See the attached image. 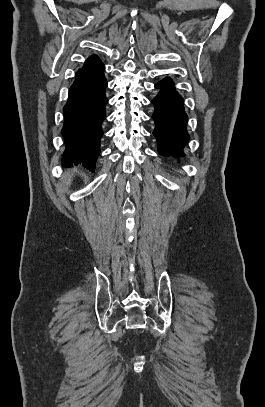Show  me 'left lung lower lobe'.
<instances>
[{"instance_id": "0a47b994", "label": "left lung lower lobe", "mask_w": 265, "mask_h": 407, "mask_svg": "<svg viewBox=\"0 0 265 407\" xmlns=\"http://www.w3.org/2000/svg\"><path fill=\"white\" fill-rule=\"evenodd\" d=\"M155 88L160 89L151 101L154 105L152 118L155 121L153 135L157 139L159 154L168 156L183 153L182 149L189 140L183 98L170 77L159 81Z\"/></svg>"}]
</instances>
